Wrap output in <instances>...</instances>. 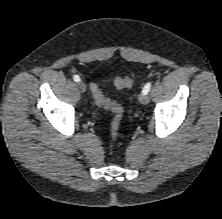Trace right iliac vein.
Wrapping results in <instances>:
<instances>
[{
    "label": "right iliac vein",
    "mask_w": 222,
    "mask_h": 219,
    "mask_svg": "<svg viewBox=\"0 0 222 219\" xmlns=\"http://www.w3.org/2000/svg\"><path fill=\"white\" fill-rule=\"evenodd\" d=\"M77 87L79 88V90L81 92H85L86 91V85H85V83L83 81H78Z\"/></svg>",
    "instance_id": "obj_1"
}]
</instances>
